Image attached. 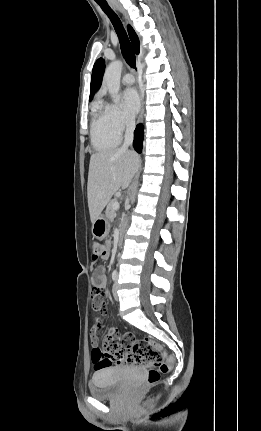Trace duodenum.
I'll list each match as a JSON object with an SVG mask.
<instances>
[{
    "instance_id": "obj_1",
    "label": "duodenum",
    "mask_w": 261,
    "mask_h": 431,
    "mask_svg": "<svg viewBox=\"0 0 261 431\" xmlns=\"http://www.w3.org/2000/svg\"><path fill=\"white\" fill-rule=\"evenodd\" d=\"M123 236V228L120 227L116 233V242L119 243Z\"/></svg>"
}]
</instances>
